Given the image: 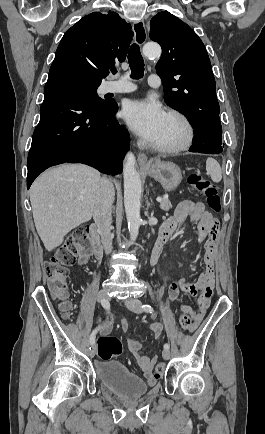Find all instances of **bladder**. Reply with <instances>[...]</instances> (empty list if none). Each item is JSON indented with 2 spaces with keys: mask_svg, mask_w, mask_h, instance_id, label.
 <instances>
[{
  "mask_svg": "<svg viewBox=\"0 0 265 434\" xmlns=\"http://www.w3.org/2000/svg\"><path fill=\"white\" fill-rule=\"evenodd\" d=\"M100 380L115 394L125 399H135L148 391L147 384L116 360H101L96 363Z\"/></svg>",
  "mask_w": 265,
  "mask_h": 434,
  "instance_id": "1",
  "label": "bladder"
}]
</instances>
